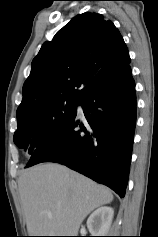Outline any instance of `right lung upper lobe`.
Masks as SVG:
<instances>
[{"instance_id":"1","label":"right lung upper lobe","mask_w":158,"mask_h":237,"mask_svg":"<svg viewBox=\"0 0 158 237\" xmlns=\"http://www.w3.org/2000/svg\"><path fill=\"white\" fill-rule=\"evenodd\" d=\"M129 63L126 44L110 20L90 12L77 15L33 59L17 117L55 99L82 100Z\"/></svg>"}]
</instances>
